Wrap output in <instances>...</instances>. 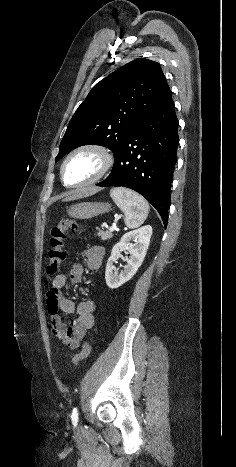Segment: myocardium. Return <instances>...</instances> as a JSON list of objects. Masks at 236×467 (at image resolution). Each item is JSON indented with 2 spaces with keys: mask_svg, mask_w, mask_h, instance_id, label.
I'll list each match as a JSON object with an SVG mask.
<instances>
[{
  "mask_svg": "<svg viewBox=\"0 0 236 467\" xmlns=\"http://www.w3.org/2000/svg\"><path fill=\"white\" fill-rule=\"evenodd\" d=\"M84 151H90L96 153L100 159H101V169L100 171L90 180L81 182V183H75V184H69L66 182L65 179V168L69 160L77 155L78 153L84 152ZM115 163V157L111 149L103 144H98V143H88L81 145L74 149L71 153L68 154V156L65 158L62 167H61V178L65 186L67 187H83L87 185L94 184L104 178L109 171L112 169L113 165Z\"/></svg>",
  "mask_w": 236,
  "mask_h": 467,
  "instance_id": "obj_1",
  "label": "myocardium"
}]
</instances>
